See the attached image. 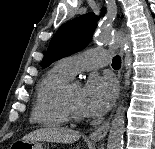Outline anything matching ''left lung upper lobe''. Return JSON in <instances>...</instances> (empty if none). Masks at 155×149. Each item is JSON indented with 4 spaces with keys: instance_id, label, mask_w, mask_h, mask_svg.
<instances>
[{
    "instance_id": "1",
    "label": "left lung upper lobe",
    "mask_w": 155,
    "mask_h": 149,
    "mask_svg": "<svg viewBox=\"0 0 155 149\" xmlns=\"http://www.w3.org/2000/svg\"><path fill=\"white\" fill-rule=\"evenodd\" d=\"M105 9H102V15ZM98 17L93 13L82 15L63 24L50 41L41 63L47 67L51 63L82 50L91 41Z\"/></svg>"
}]
</instances>
